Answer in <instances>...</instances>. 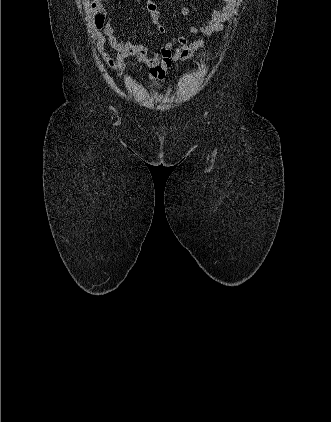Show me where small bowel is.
I'll return each mask as SVG.
<instances>
[{
    "mask_svg": "<svg viewBox=\"0 0 331 422\" xmlns=\"http://www.w3.org/2000/svg\"><path fill=\"white\" fill-rule=\"evenodd\" d=\"M104 1L106 0H93L92 2V11L97 28L95 37L104 61L118 76H123L128 72L125 59L129 56H135L149 68V79L163 80L174 62L190 59L205 44L203 39L191 42L189 37L177 35L164 26L155 0H145L143 9L149 13L151 22L157 31L168 37L169 41L154 46L144 43L138 35L134 37L133 41L122 40L118 31L112 25V19L107 18L103 6ZM237 4L238 0H220L209 18L204 22L197 21L196 25L190 29V33L211 36L221 31L233 14ZM189 13L188 8L182 10L183 16H187ZM106 45L116 51V57L112 58L106 52ZM177 45L178 47L175 49Z\"/></svg>",
    "mask_w": 331,
    "mask_h": 422,
    "instance_id": "obj_1",
    "label": "small bowel"
}]
</instances>
